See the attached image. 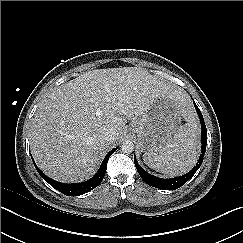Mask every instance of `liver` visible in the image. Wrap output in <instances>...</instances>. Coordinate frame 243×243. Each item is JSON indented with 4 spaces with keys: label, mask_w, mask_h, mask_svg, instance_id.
<instances>
[{
    "label": "liver",
    "mask_w": 243,
    "mask_h": 243,
    "mask_svg": "<svg viewBox=\"0 0 243 243\" xmlns=\"http://www.w3.org/2000/svg\"><path fill=\"white\" fill-rule=\"evenodd\" d=\"M160 97L189 114L182 89L137 67L96 69L62 84L38 107L30 147L39 168L54 180L77 183L95 174L111 145L125 133L127 120L143 115ZM113 129L114 140L102 139Z\"/></svg>",
    "instance_id": "1"
}]
</instances>
